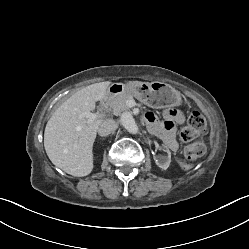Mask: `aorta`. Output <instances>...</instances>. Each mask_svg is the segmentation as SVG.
Masks as SVG:
<instances>
[{
	"label": "aorta",
	"instance_id": "1",
	"mask_svg": "<svg viewBox=\"0 0 249 249\" xmlns=\"http://www.w3.org/2000/svg\"><path fill=\"white\" fill-rule=\"evenodd\" d=\"M121 122L128 132L132 134L137 133L138 131L137 124L135 123V120L133 119L130 113H124L121 117Z\"/></svg>",
	"mask_w": 249,
	"mask_h": 249
}]
</instances>
